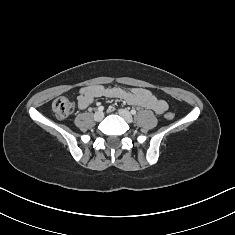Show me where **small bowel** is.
<instances>
[{"label":"small bowel","mask_w":235,"mask_h":235,"mask_svg":"<svg viewBox=\"0 0 235 235\" xmlns=\"http://www.w3.org/2000/svg\"><path fill=\"white\" fill-rule=\"evenodd\" d=\"M97 98L121 99L130 105L150 109L157 114H163L168 110L167 102L156 97L147 89L133 88L128 90L102 85H90L81 88L77 96L78 107L85 109Z\"/></svg>","instance_id":"obj_1"}]
</instances>
